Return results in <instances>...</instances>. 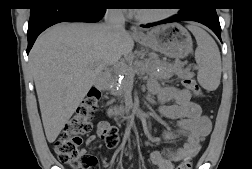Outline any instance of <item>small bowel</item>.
Here are the masks:
<instances>
[{"label":"small bowel","mask_w":252,"mask_h":169,"mask_svg":"<svg viewBox=\"0 0 252 169\" xmlns=\"http://www.w3.org/2000/svg\"><path fill=\"white\" fill-rule=\"evenodd\" d=\"M148 91L159 101L160 113L167 119L177 121V128L164 132L163 139L175 141L186 138V142L177 149L153 151L150 154L151 162L158 169H174L175 162L197 155L201 140L211 132V121L202 115L200 106L192 101L191 93L186 89L161 87L157 81L151 80L148 83ZM110 127L106 121L98 122L96 134L86 139V146L91 147L98 139L106 140L107 130Z\"/></svg>","instance_id":"1"}]
</instances>
